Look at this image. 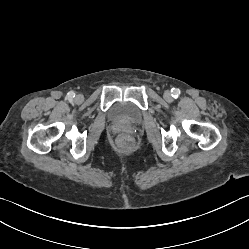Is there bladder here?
Returning a JSON list of instances; mask_svg holds the SVG:
<instances>
[{
  "label": "bladder",
  "mask_w": 249,
  "mask_h": 249,
  "mask_svg": "<svg viewBox=\"0 0 249 249\" xmlns=\"http://www.w3.org/2000/svg\"><path fill=\"white\" fill-rule=\"evenodd\" d=\"M108 114L111 120L125 124H137L143 118L142 110L129 101L114 103Z\"/></svg>",
  "instance_id": "obj_1"
}]
</instances>
